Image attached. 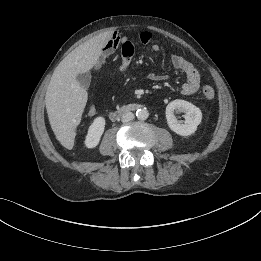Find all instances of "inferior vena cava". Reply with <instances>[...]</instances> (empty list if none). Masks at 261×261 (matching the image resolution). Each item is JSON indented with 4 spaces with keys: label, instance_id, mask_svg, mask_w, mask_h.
<instances>
[{
    "label": "inferior vena cava",
    "instance_id": "1",
    "mask_svg": "<svg viewBox=\"0 0 261 261\" xmlns=\"http://www.w3.org/2000/svg\"><path fill=\"white\" fill-rule=\"evenodd\" d=\"M134 119V114L130 111L128 112H124L122 115H121V121L122 122H128V121H131Z\"/></svg>",
    "mask_w": 261,
    "mask_h": 261
}]
</instances>
